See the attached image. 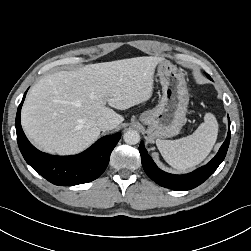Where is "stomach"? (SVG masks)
<instances>
[{"label":"stomach","instance_id":"stomach-1","mask_svg":"<svg viewBox=\"0 0 251 251\" xmlns=\"http://www.w3.org/2000/svg\"><path fill=\"white\" fill-rule=\"evenodd\" d=\"M157 75L162 86L159 104L140 114L139 120L148 125L151 140L177 135L186 122L189 93L184 74L167 60L158 64Z\"/></svg>","mask_w":251,"mask_h":251}]
</instances>
